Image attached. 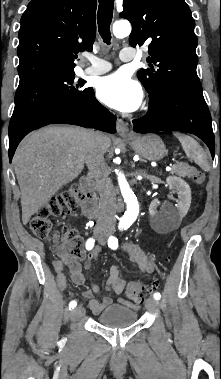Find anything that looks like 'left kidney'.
<instances>
[{
    "label": "left kidney",
    "instance_id": "left-kidney-1",
    "mask_svg": "<svg viewBox=\"0 0 221 379\" xmlns=\"http://www.w3.org/2000/svg\"><path fill=\"white\" fill-rule=\"evenodd\" d=\"M167 184L176 190L179 201L176 207L164 205L160 211L157 210L158 200H153L149 206L152 223L158 229L168 230L177 227L188 213L191 204V189L189 185L179 177H168Z\"/></svg>",
    "mask_w": 221,
    "mask_h": 379
}]
</instances>
